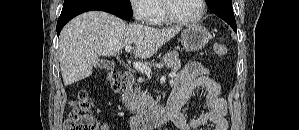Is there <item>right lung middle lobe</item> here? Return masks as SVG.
<instances>
[{
    "label": "right lung middle lobe",
    "mask_w": 299,
    "mask_h": 130,
    "mask_svg": "<svg viewBox=\"0 0 299 130\" xmlns=\"http://www.w3.org/2000/svg\"><path fill=\"white\" fill-rule=\"evenodd\" d=\"M117 1H119V2H121L123 4H125V5L130 6V0H117Z\"/></svg>",
    "instance_id": "1"
}]
</instances>
